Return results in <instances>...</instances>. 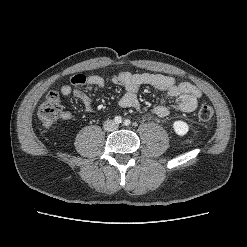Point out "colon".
I'll return each mask as SVG.
<instances>
[{
	"mask_svg": "<svg viewBox=\"0 0 247 247\" xmlns=\"http://www.w3.org/2000/svg\"><path fill=\"white\" fill-rule=\"evenodd\" d=\"M62 106L57 91H51L47 94L45 100L38 109L40 121L48 128L52 127L54 122L60 116ZM213 116V108L208 104H202L197 111V117L200 121H209Z\"/></svg>",
	"mask_w": 247,
	"mask_h": 247,
	"instance_id": "colon-1",
	"label": "colon"
}]
</instances>
